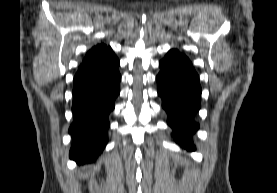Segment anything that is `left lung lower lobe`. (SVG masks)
<instances>
[{
    "mask_svg": "<svg viewBox=\"0 0 277 193\" xmlns=\"http://www.w3.org/2000/svg\"><path fill=\"white\" fill-rule=\"evenodd\" d=\"M159 65L156 80L167 123L180 146L194 149L191 137L199 128L193 121L200 109L199 76L189 59L177 49L170 50Z\"/></svg>",
    "mask_w": 277,
    "mask_h": 193,
    "instance_id": "1",
    "label": "left lung lower lobe"
}]
</instances>
